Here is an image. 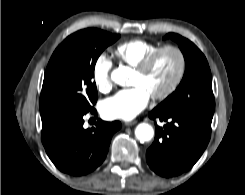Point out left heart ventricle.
<instances>
[{"label": "left heart ventricle", "mask_w": 245, "mask_h": 195, "mask_svg": "<svg viewBox=\"0 0 245 195\" xmlns=\"http://www.w3.org/2000/svg\"><path fill=\"white\" fill-rule=\"evenodd\" d=\"M178 68V58L172 51L161 53L150 69L140 74L135 71L133 85L143 86L150 95L163 91L173 80Z\"/></svg>", "instance_id": "1"}]
</instances>
